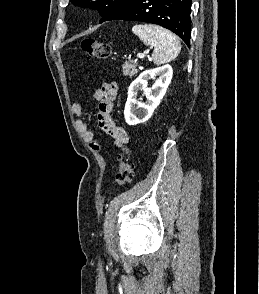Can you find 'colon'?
I'll list each match as a JSON object with an SVG mask.
<instances>
[{
    "label": "colon",
    "instance_id": "1",
    "mask_svg": "<svg viewBox=\"0 0 259 294\" xmlns=\"http://www.w3.org/2000/svg\"><path fill=\"white\" fill-rule=\"evenodd\" d=\"M82 49L92 58L106 59L111 55V46L95 38H87L81 43ZM133 178L132 165L127 160H121L119 170L116 175L117 183L124 186L129 183Z\"/></svg>",
    "mask_w": 259,
    "mask_h": 294
}]
</instances>
